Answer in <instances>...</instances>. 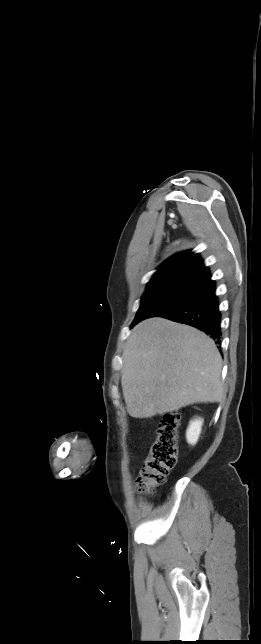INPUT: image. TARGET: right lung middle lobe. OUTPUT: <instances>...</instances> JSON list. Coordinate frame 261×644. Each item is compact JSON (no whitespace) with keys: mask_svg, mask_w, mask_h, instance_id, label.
<instances>
[{"mask_svg":"<svg viewBox=\"0 0 261 644\" xmlns=\"http://www.w3.org/2000/svg\"><path fill=\"white\" fill-rule=\"evenodd\" d=\"M201 284L186 280H165L149 283L141 299L140 308L131 325L155 316H161L192 297Z\"/></svg>","mask_w":261,"mask_h":644,"instance_id":"obj_1","label":"right lung middle lobe"}]
</instances>
